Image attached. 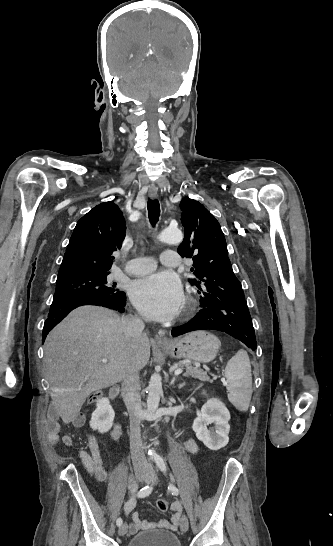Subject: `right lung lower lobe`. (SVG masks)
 Segmentation results:
<instances>
[{"label": "right lung lower lobe", "mask_w": 333, "mask_h": 546, "mask_svg": "<svg viewBox=\"0 0 333 546\" xmlns=\"http://www.w3.org/2000/svg\"><path fill=\"white\" fill-rule=\"evenodd\" d=\"M82 305H98L123 313L126 306L125 293L120 291L113 295H88L54 300L51 304L48 318L44 323L43 341L67 314Z\"/></svg>", "instance_id": "98d812e1"}]
</instances>
